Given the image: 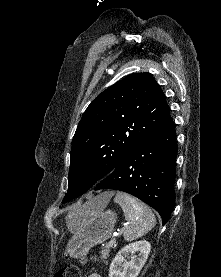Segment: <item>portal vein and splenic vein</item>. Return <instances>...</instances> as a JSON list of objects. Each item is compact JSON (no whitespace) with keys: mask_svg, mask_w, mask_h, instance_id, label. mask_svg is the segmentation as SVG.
Returning <instances> with one entry per match:
<instances>
[{"mask_svg":"<svg viewBox=\"0 0 221 277\" xmlns=\"http://www.w3.org/2000/svg\"><path fill=\"white\" fill-rule=\"evenodd\" d=\"M117 235H118V233H114L113 236H117ZM113 244H114V240L109 241V242L106 244V248H107V249H110V248L113 246Z\"/></svg>","mask_w":221,"mask_h":277,"instance_id":"1","label":"portal vein and splenic vein"}]
</instances>
